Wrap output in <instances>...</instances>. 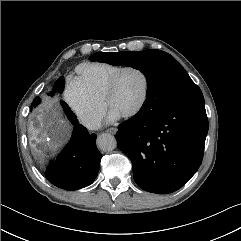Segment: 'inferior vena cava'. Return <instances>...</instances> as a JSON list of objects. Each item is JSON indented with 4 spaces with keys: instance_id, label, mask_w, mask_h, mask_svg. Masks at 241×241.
I'll use <instances>...</instances> for the list:
<instances>
[{
    "instance_id": "inferior-vena-cava-1",
    "label": "inferior vena cava",
    "mask_w": 241,
    "mask_h": 241,
    "mask_svg": "<svg viewBox=\"0 0 241 241\" xmlns=\"http://www.w3.org/2000/svg\"><path fill=\"white\" fill-rule=\"evenodd\" d=\"M101 121L100 120H91L86 122V126L89 129H98L100 127Z\"/></svg>"
}]
</instances>
